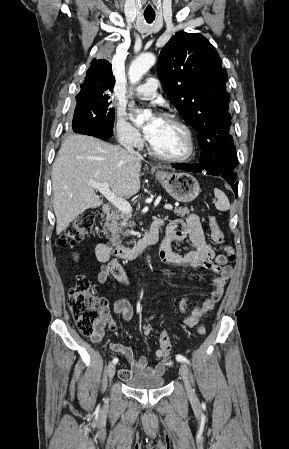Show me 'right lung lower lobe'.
<instances>
[{"label": "right lung lower lobe", "mask_w": 289, "mask_h": 449, "mask_svg": "<svg viewBox=\"0 0 289 449\" xmlns=\"http://www.w3.org/2000/svg\"><path fill=\"white\" fill-rule=\"evenodd\" d=\"M76 133L95 136L103 140H107L112 136V134H107L105 132L98 131L86 125L82 126V128L79 129Z\"/></svg>", "instance_id": "1"}]
</instances>
